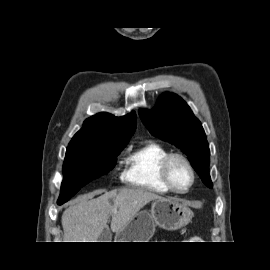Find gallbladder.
I'll return each instance as SVG.
<instances>
[{
	"mask_svg": "<svg viewBox=\"0 0 270 270\" xmlns=\"http://www.w3.org/2000/svg\"><path fill=\"white\" fill-rule=\"evenodd\" d=\"M112 239V233L107 230L104 229L103 232L101 233V235L99 236V242H110Z\"/></svg>",
	"mask_w": 270,
	"mask_h": 270,
	"instance_id": "obj_1",
	"label": "gallbladder"
}]
</instances>
